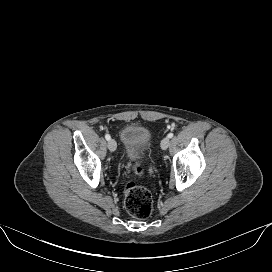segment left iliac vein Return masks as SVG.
I'll return each instance as SVG.
<instances>
[{"label":"left iliac vein","mask_w":272,"mask_h":272,"mask_svg":"<svg viewBox=\"0 0 272 272\" xmlns=\"http://www.w3.org/2000/svg\"><path fill=\"white\" fill-rule=\"evenodd\" d=\"M169 144H170L169 138H168V137H165V138L161 141V148H162L163 150H166V149L168 148Z\"/></svg>","instance_id":"obj_1"}]
</instances>
